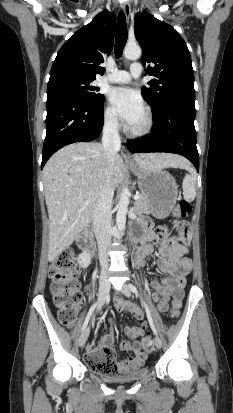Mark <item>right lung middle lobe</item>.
<instances>
[{
	"mask_svg": "<svg viewBox=\"0 0 233 413\" xmlns=\"http://www.w3.org/2000/svg\"><path fill=\"white\" fill-rule=\"evenodd\" d=\"M93 80L94 79L79 77H63L49 81L47 87V97L55 95H70L77 97L92 106H102L104 96L98 93L99 88L91 85Z\"/></svg>",
	"mask_w": 233,
	"mask_h": 413,
	"instance_id": "obj_1",
	"label": "right lung middle lobe"
}]
</instances>
